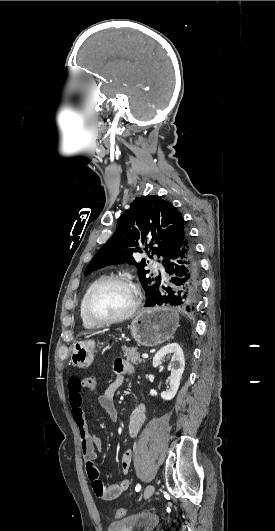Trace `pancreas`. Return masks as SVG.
<instances>
[{"instance_id": "pancreas-1", "label": "pancreas", "mask_w": 275, "mask_h": 531, "mask_svg": "<svg viewBox=\"0 0 275 531\" xmlns=\"http://www.w3.org/2000/svg\"><path fill=\"white\" fill-rule=\"evenodd\" d=\"M137 349L138 347H122V351H124L123 357L133 363V365H138V363L144 361V359H140V353H137Z\"/></svg>"}]
</instances>
